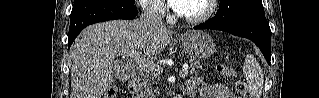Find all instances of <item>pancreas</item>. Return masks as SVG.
Returning a JSON list of instances; mask_svg holds the SVG:
<instances>
[{"label": "pancreas", "mask_w": 319, "mask_h": 98, "mask_svg": "<svg viewBox=\"0 0 319 98\" xmlns=\"http://www.w3.org/2000/svg\"><path fill=\"white\" fill-rule=\"evenodd\" d=\"M190 64V74H197L198 70L202 69V65L199 61L189 60ZM162 72V69L159 68V71L156 74H144L141 78L140 92L145 98L153 97L154 93L158 92L157 82L155 81L156 76Z\"/></svg>", "instance_id": "pancreas-1"}]
</instances>
